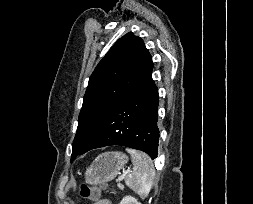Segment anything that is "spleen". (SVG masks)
<instances>
[{
	"instance_id": "spleen-1",
	"label": "spleen",
	"mask_w": 253,
	"mask_h": 204,
	"mask_svg": "<svg viewBox=\"0 0 253 204\" xmlns=\"http://www.w3.org/2000/svg\"><path fill=\"white\" fill-rule=\"evenodd\" d=\"M126 151L132 157L133 171L126 176L125 183L141 197H146L155 177L153 162L144 152L135 149H126Z\"/></svg>"
}]
</instances>
